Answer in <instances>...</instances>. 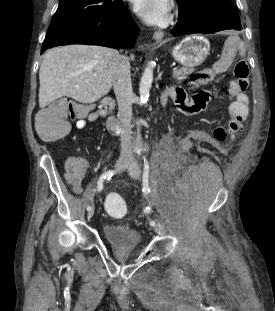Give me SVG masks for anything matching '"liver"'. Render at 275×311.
<instances>
[{
	"label": "liver",
	"instance_id": "liver-1",
	"mask_svg": "<svg viewBox=\"0 0 275 311\" xmlns=\"http://www.w3.org/2000/svg\"><path fill=\"white\" fill-rule=\"evenodd\" d=\"M116 53L96 45H68L48 50L39 70L40 108L63 96L91 104L106 95L113 84L111 60Z\"/></svg>",
	"mask_w": 275,
	"mask_h": 311
}]
</instances>
